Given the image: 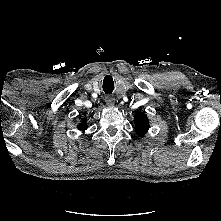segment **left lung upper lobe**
Wrapping results in <instances>:
<instances>
[{
	"mask_svg": "<svg viewBox=\"0 0 221 221\" xmlns=\"http://www.w3.org/2000/svg\"><path fill=\"white\" fill-rule=\"evenodd\" d=\"M135 130L139 136H143L149 129L147 116L143 113H137L134 116Z\"/></svg>",
	"mask_w": 221,
	"mask_h": 221,
	"instance_id": "5c2ea615",
	"label": "left lung upper lobe"
}]
</instances>
